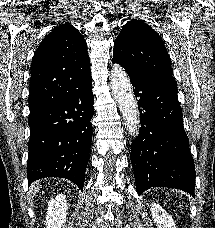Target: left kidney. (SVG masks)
Masks as SVG:
<instances>
[{"label": "left kidney", "mask_w": 215, "mask_h": 228, "mask_svg": "<svg viewBox=\"0 0 215 228\" xmlns=\"http://www.w3.org/2000/svg\"><path fill=\"white\" fill-rule=\"evenodd\" d=\"M150 210L153 222L157 228H176L173 218L159 204H150Z\"/></svg>", "instance_id": "1"}]
</instances>
